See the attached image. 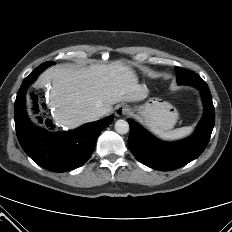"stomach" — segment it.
Returning <instances> with one entry per match:
<instances>
[{
	"mask_svg": "<svg viewBox=\"0 0 232 232\" xmlns=\"http://www.w3.org/2000/svg\"><path fill=\"white\" fill-rule=\"evenodd\" d=\"M137 110L149 128L157 134L170 131L178 120L175 107L158 98H151Z\"/></svg>",
	"mask_w": 232,
	"mask_h": 232,
	"instance_id": "obj_1",
	"label": "stomach"
}]
</instances>
